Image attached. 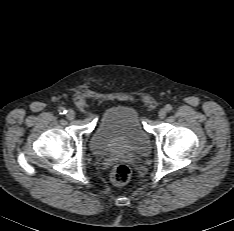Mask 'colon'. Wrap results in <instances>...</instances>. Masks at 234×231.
<instances>
[{
    "label": "colon",
    "instance_id": "obj_1",
    "mask_svg": "<svg viewBox=\"0 0 234 231\" xmlns=\"http://www.w3.org/2000/svg\"><path fill=\"white\" fill-rule=\"evenodd\" d=\"M131 177V170L125 164H118L113 167L110 178L114 185L122 186L128 183Z\"/></svg>",
    "mask_w": 234,
    "mask_h": 231
}]
</instances>
